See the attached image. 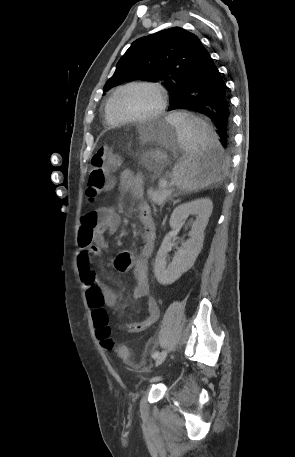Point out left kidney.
I'll list each match as a JSON object with an SVG mask.
<instances>
[{
    "label": "left kidney",
    "instance_id": "1",
    "mask_svg": "<svg viewBox=\"0 0 295 457\" xmlns=\"http://www.w3.org/2000/svg\"><path fill=\"white\" fill-rule=\"evenodd\" d=\"M213 210L212 201L208 198H201L177 206L170 217V226L174 231L181 228L182 223L192 215L196 219L191 220L192 229L189 232V239L182 243L180 249L175 253L172 262L167 265V256L170 250L171 236L164 237L157 253L154 274L157 281L162 285L174 283L181 275L187 272L196 261L204 241V230L208 224L209 217Z\"/></svg>",
    "mask_w": 295,
    "mask_h": 457
}]
</instances>
